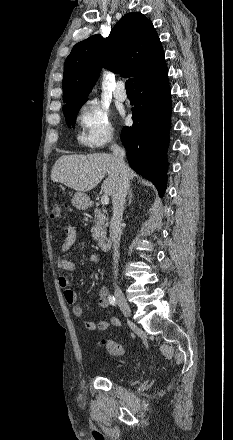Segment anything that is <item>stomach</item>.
Wrapping results in <instances>:
<instances>
[{"mask_svg": "<svg viewBox=\"0 0 233 440\" xmlns=\"http://www.w3.org/2000/svg\"><path fill=\"white\" fill-rule=\"evenodd\" d=\"M72 204L79 210H85L90 206V199L85 193L76 192L72 198Z\"/></svg>", "mask_w": 233, "mask_h": 440, "instance_id": "stomach-1", "label": "stomach"}]
</instances>
